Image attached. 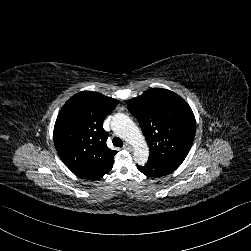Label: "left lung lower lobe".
Returning <instances> with one entry per match:
<instances>
[{"instance_id":"obj_1","label":"left lung lower lobe","mask_w":251,"mask_h":251,"mask_svg":"<svg viewBox=\"0 0 251 251\" xmlns=\"http://www.w3.org/2000/svg\"><path fill=\"white\" fill-rule=\"evenodd\" d=\"M137 168L140 172L149 177H161L172 173L178 168V166L149 159L148 163L145 166L137 165Z\"/></svg>"}]
</instances>
